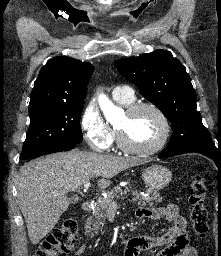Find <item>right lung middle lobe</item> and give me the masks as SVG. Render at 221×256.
Here are the masks:
<instances>
[{"label":"right lung middle lobe","mask_w":221,"mask_h":256,"mask_svg":"<svg viewBox=\"0 0 221 256\" xmlns=\"http://www.w3.org/2000/svg\"><path fill=\"white\" fill-rule=\"evenodd\" d=\"M83 106L84 102H79L29 110L30 127L21 158L53 144L81 143L83 135L79 120Z\"/></svg>","instance_id":"right-lung-middle-lobe-1"}]
</instances>
